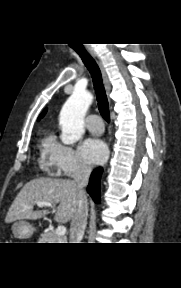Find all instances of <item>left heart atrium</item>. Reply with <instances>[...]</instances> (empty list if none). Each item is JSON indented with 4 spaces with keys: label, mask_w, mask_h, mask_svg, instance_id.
<instances>
[{
    "label": "left heart atrium",
    "mask_w": 181,
    "mask_h": 288,
    "mask_svg": "<svg viewBox=\"0 0 181 288\" xmlns=\"http://www.w3.org/2000/svg\"><path fill=\"white\" fill-rule=\"evenodd\" d=\"M80 153L90 163L98 164L107 157V146L98 138H88L80 145Z\"/></svg>",
    "instance_id": "obj_1"
}]
</instances>
